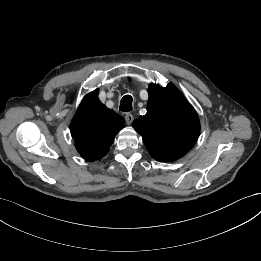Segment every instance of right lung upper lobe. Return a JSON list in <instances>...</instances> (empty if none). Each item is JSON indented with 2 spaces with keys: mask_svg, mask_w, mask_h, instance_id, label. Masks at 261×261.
Segmentation results:
<instances>
[{
  "mask_svg": "<svg viewBox=\"0 0 261 261\" xmlns=\"http://www.w3.org/2000/svg\"><path fill=\"white\" fill-rule=\"evenodd\" d=\"M124 123L119 114L100 103L98 91L91 92L84 97L71 122L76 149L86 160L101 159Z\"/></svg>",
  "mask_w": 261,
  "mask_h": 261,
  "instance_id": "1",
  "label": "right lung upper lobe"
}]
</instances>
